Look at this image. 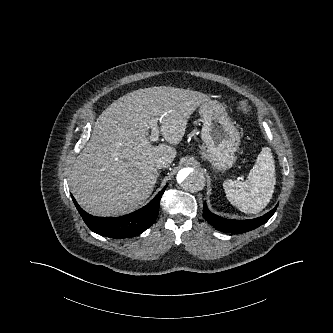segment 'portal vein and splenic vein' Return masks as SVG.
<instances>
[{
	"instance_id": "portal-vein-and-splenic-vein-1",
	"label": "portal vein and splenic vein",
	"mask_w": 333,
	"mask_h": 333,
	"mask_svg": "<svg viewBox=\"0 0 333 333\" xmlns=\"http://www.w3.org/2000/svg\"><path fill=\"white\" fill-rule=\"evenodd\" d=\"M157 122H158V119H152L150 120L149 122V125H150V128H151V135H150V140L151 141H157L158 138H159V130H158V126H157Z\"/></svg>"
}]
</instances>
